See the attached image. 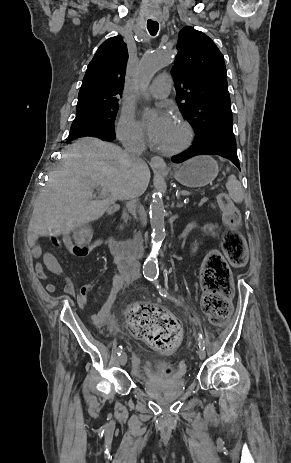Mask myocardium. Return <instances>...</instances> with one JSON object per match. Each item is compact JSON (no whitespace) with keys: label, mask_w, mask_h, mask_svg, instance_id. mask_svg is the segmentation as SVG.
Instances as JSON below:
<instances>
[{"label":"myocardium","mask_w":291,"mask_h":463,"mask_svg":"<svg viewBox=\"0 0 291 463\" xmlns=\"http://www.w3.org/2000/svg\"><path fill=\"white\" fill-rule=\"evenodd\" d=\"M176 123L181 129L182 137L179 143H177L173 147L163 148L161 150L166 155H175V154L181 153L182 151H184L190 146L193 140V137H194L193 129L187 121L181 118H178Z\"/></svg>","instance_id":"1"}]
</instances>
